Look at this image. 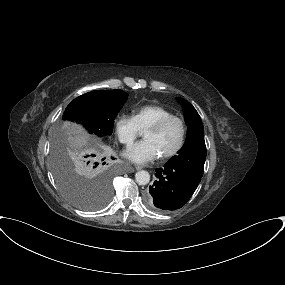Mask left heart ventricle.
<instances>
[{"label": "left heart ventricle", "instance_id": "b2bd125f", "mask_svg": "<svg viewBox=\"0 0 285 285\" xmlns=\"http://www.w3.org/2000/svg\"><path fill=\"white\" fill-rule=\"evenodd\" d=\"M143 137L145 140L152 142L159 156L164 155L172 151L179 143L181 137V126L177 121H172L160 131L144 132Z\"/></svg>", "mask_w": 285, "mask_h": 285}]
</instances>
